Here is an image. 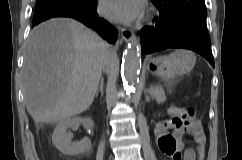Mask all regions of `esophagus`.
Returning <instances> with one entry per match:
<instances>
[{
    "label": "esophagus",
    "mask_w": 242,
    "mask_h": 160,
    "mask_svg": "<svg viewBox=\"0 0 242 160\" xmlns=\"http://www.w3.org/2000/svg\"><path fill=\"white\" fill-rule=\"evenodd\" d=\"M120 32H121L122 38L126 42L131 41L133 39V37H134V32L132 30H129V29H126V28H122Z\"/></svg>",
    "instance_id": "34e87169"
}]
</instances>
